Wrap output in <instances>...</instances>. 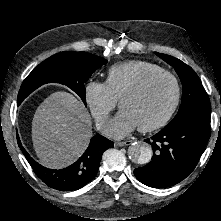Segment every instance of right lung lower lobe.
<instances>
[{
	"mask_svg": "<svg viewBox=\"0 0 221 221\" xmlns=\"http://www.w3.org/2000/svg\"><path fill=\"white\" fill-rule=\"evenodd\" d=\"M18 144L36 175L49 187L60 191L78 190L89 183L98 172L103 152L113 146L112 141L96 135L91 138L85 153L74 164L61 170H52L34 161L19 139Z\"/></svg>",
	"mask_w": 221,
	"mask_h": 221,
	"instance_id": "right-lung-lower-lobe-1",
	"label": "right lung lower lobe"
}]
</instances>
